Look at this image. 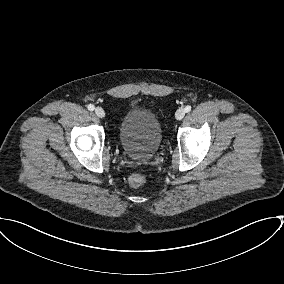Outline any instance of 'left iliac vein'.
I'll use <instances>...</instances> for the list:
<instances>
[{
  "label": "left iliac vein",
  "mask_w": 284,
  "mask_h": 284,
  "mask_svg": "<svg viewBox=\"0 0 284 284\" xmlns=\"http://www.w3.org/2000/svg\"><path fill=\"white\" fill-rule=\"evenodd\" d=\"M185 113H186L185 110H184L183 108H180V109H178V110L176 111V113H175V118H176L177 120H181V119L184 118Z\"/></svg>",
  "instance_id": "1"
}]
</instances>
